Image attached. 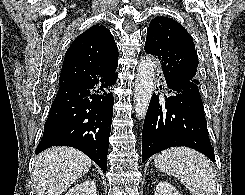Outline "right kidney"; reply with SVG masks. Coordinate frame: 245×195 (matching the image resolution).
<instances>
[{"label":"right kidney","instance_id":"right-kidney-1","mask_svg":"<svg viewBox=\"0 0 245 195\" xmlns=\"http://www.w3.org/2000/svg\"><path fill=\"white\" fill-rule=\"evenodd\" d=\"M66 195H97L96 184L92 180H85L72 187Z\"/></svg>","mask_w":245,"mask_h":195}]
</instances>
